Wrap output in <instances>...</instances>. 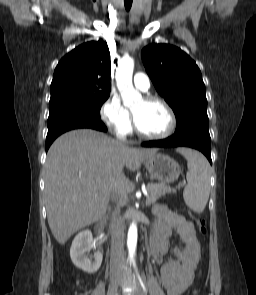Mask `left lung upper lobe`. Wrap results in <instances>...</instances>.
Segmentation results:
<instances>
[{"instance_id": "1", "label": "left lung upper lobe", "mask_w": 256, "mask_h": 295, "mask_svg": "<svg viewBox=\"0 0 256 295\" xmlns=\"http://www.w3.org/2000/svg\"><path fill=\"white\" fill-rule=\"evenodd\" d=\"M146 72L176 116V131H209L205 85L196 63L180 48L151 44L141 52Z\"/></svg>"}]
</instances>
